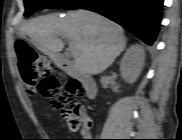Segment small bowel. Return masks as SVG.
<instances>
[{"label": "small bowel", "instance_id": "obj_1", "mask_svg": "<svg viewBox=\"0 0 182 140\" xmlns=\"http://www.w3.org/2000/svg\"><path fill=\"white\" fill-rule=\"evenodd\" d=\"M80 134L83 138H89L90 132L88 128H82ZM82 140H89V139H82Z\"/></svg>", "mask_w": 182, "mask_h": 140}]
</instances>
